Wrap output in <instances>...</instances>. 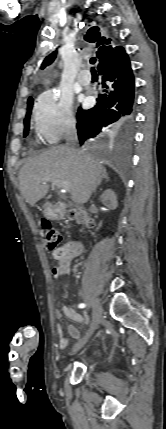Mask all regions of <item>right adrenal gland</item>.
Listing matches in <instances>:
<instances>
[{
	"label": "right adrenal gland",
	"instance_id": "2a0ac1e0",
	"mask_svg": "<svg viewBox=\"0 0 166 429\" xmlns=\"http://www.w3.org/2000/svg\"><path fill=\"white\" fill-rule=\"evenodd\" d=\"M103 178H104L106 181H109V180H110L107 174H106ZM100 184H101V181H100V182H98V184L96 185V187H97V186H99ZM96 187L93 189V192H95Z\"/></svg>",
	"mask_w": 166,
	"mask_h": 429
}]
</instances>
